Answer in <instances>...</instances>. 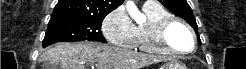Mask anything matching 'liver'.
<instances>
[{"label": "liver", "instance_id": "6515ba94", "mask_svg": "<svg viewBox=\"0 0 246 69\" xmlns=\"http://www.w3.org/2000/svg\"><path fill=\"white\" fill-rule=\"evenodd\" d=\"M43 58L59 69H141L161 58L97 42H62L48 49Z\"/></svg>", "mask_w": 246, "mask_h": 69}]
</instances>
